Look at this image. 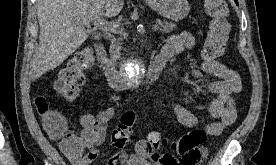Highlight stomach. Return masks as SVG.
I'll return each mask as SVG.
<instances>
[{
  "instance_id": "obj_1",
  "label": "stomach",
  "mask_w": 276,
  "mask_h": 165,
  "mask_svg": "<svg viewBox=\"0 0 276 165\" xmlns=\"http://www.w3.org/2000/svg\"><path fill=\"white\" fill-rule=\"evenodd\" d=\"M146 3L162 16L179 21L190 11L188 0H146Z\"/></svg>"
}]
</instances>
